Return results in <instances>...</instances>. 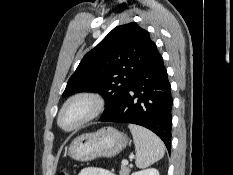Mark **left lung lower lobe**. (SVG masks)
I'll use <instances>...</instances> for the list:
<instances>
[{
	"label": "left lung lower lobe",
	"mask_w": 233,
	"mask_h": 175,
	"mask_svg": "<svg viewBox=\"0 0 233 175\" xmlns=\"http://www.w3.org/2000/svg\"><path fill=\"white\" fill-rule=\"evenodd\" d=\"M171 111V85L163 58L156 48L128 87L119 106L100 120L146 127L157 134L169 150Z\"/></svg>",
	"instance_id": "obj_1"
}]
</instances>
